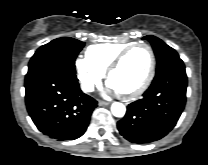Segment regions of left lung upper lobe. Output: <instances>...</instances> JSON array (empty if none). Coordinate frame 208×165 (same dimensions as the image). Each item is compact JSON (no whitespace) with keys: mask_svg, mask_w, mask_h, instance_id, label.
<instances>
[{"mask_svg":"<svg viewBox=\"0 0 208 165\" xmlns=\"http://www.w3.org/2000/svg\"><path fill=\"white\" fill-rule=\"evenodd\" d=\"M143 39L148 40L153 47L154 53L156 55L157 59V69L156 72L164 69L165 67L178 63L183 62L177 52L168 46L166 43H164L162 40L155 36H145Z\"/></svg>","mask_w":208,"mask_h":165,"instance_id":"1","label":"left lung upper lobe"}]
</instances>
